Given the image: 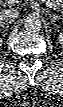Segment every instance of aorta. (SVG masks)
<instances>
[{"mask_svg": "<svg viewBox=\"0 0 63 107\" xmlns=\"http://www.w3.org/2000/svg\"><path fill=\"white\" fill-rule=\"evenodd\" d=\"M42 24L38 16H27L24 21V28L30 32H37L41 29Z\"/></svg>", "mask_w": 63, "mask_h": 107, "instance_id": "1", "label": "aorta"}]
</instances>
